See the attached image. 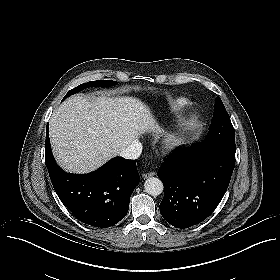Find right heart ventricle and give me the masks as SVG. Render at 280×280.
<instances>
[{"instance_id":"right-heart-ventricle-1","label":"right heart ventricle","mask_w":280,"mask_h":280,"mask_svg":"<svg viewBox=\"0 0 280 280\" xmlns=\"http://www.w3.org/2000/svg\"><path fill=\"white\" fill-rule=\"evenodd\" d=\"M187 104H188V102L184 97H176V98L172 99L168 103L169 116L175 114V112L181 110Z\"/></svg>"}]
</instances>
